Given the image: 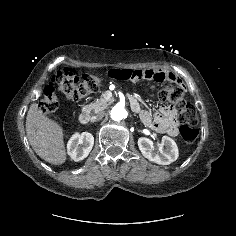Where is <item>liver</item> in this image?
Here are the masks:
<instances>
[{
    "mask_svg": "<svg viewBox=\"0 0 236 236\" xmlns=\"http://www.w3.org/2000/svg\"><path fill=\"white\" fill-rule=\"evenodd\" d=\"M26 134L33 150L45 161L61 165L67 160L62 127L44 116L36 103L26 117Z\"/></svg>",
    "mask_w": 236,
    "mask_h": 236,
    "instance_id": "6515ba94",
    "label": "liver"
}]
</instances>
